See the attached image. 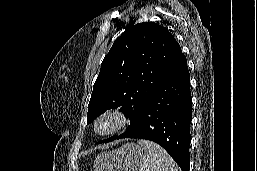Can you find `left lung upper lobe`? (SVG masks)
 Instances as JSON below:
<instances>
[{"label": "left lung upper lobe", "mask_w": 257, "mask_h": 171, "mask_svg": "<svg viewBox=\"0 0 257 171\" xmlns=\"http://www.w3.org/2000/svg\"><path fill=\"white\" fill-rule=\"evenodd\" d=\"M180 50L174 36L158 24L143 22L126 29L102 61L87 124L104 111L120 107L132 125Z\"/></svg>", "instance_id": "obj_1"}]
</instances>
